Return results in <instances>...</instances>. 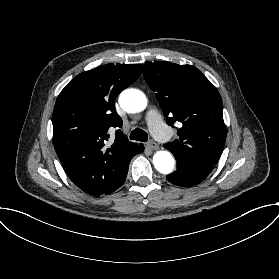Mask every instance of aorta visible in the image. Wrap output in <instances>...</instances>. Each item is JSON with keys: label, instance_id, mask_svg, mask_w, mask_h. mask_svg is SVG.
Masks as SVG:
<instances>
[{"label": "aorta", "instance_id": "aorta-1", "mask_svg": "<svg viewBox=\"0 0 279 279\" xmlns=\"http://www.w3.org/2000/svg\"><path fill=\"white\" fill-rule=\"evenodd\" d=\"M119 104L127 113H138L146 108L147 98L138 89H125L119 96ZM153 165L161 174H170L174 170L175 159L169 151H157L153 156Z\"/></svg>", "mask_w": 279, "mask_h": 279}]
</instances>
